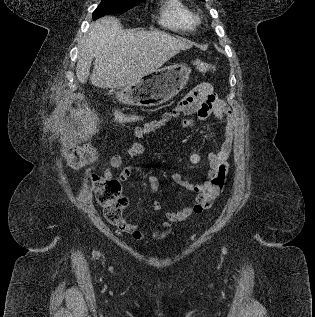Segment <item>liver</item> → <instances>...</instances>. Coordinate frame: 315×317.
<instances>
[{
  "instance_id": "liver-1",
  "label": "liver",
  "mask_w": 315,
  "mask_h": 317,
  "mask_svg": "<svg viewBox=\"0 0 315 317\" xmlns=\"http://www.w3.org/2000/svg\"><path fill=\"white\" fill-rule=\"evenodd\" d=\"M192 45L160 31L124 30L118 19L103 17L91 24L80 47L76 76L82 84L90 78L93 86L120 89L136 83Z\"/></svg>"
}]
</instances>
